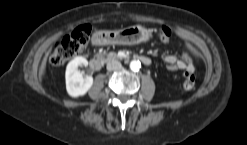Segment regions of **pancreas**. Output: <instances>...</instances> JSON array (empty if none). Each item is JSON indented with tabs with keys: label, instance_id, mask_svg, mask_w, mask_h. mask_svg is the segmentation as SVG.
Segmentation results:
<instances>
[{
	"label": "pancreas",
	"instance_id": "obj_1",
	"mask_svg": "<svg viewBox=\"0 0 247 145\" xmlns=\"http://www.w3.org/2000/svg\"><path fill=\"white\" fill-rule=\"evenodd\" d=\"M118 56L115 53H109L107 55V58L105 59V61H109L111 59H116Z\"/></svg>",
	"mask_w": 247,
	"mask_h": 145
}]
</instances>
